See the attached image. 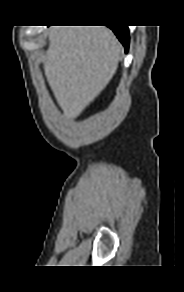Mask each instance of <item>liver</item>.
<instances>
[{"instance_id": "6515ba94", "label": "liver", "mask_w": 184, "mask_h": 292, "mask_svg": "<svg viewBox=\"0 0 184 292\" xmlns=\"http://www.w3.org/2000/svg\"><path fill=\"white\" fill-rule=\"evenodd\" d=\"M44 71L66 117L77 118L115 74L121 45L104 26H54Z\"/></svg>"}]
</instances>
